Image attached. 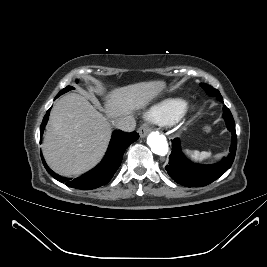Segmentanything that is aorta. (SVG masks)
<instances>
[{
    "instance_id": "aorta-1",
    "label": "aorta",
    "mask_w": 267,
    "mask_h": 267,
    "mask_svg": "<svg viewBox=\"0 0 267 267\" xmlns=\"http://www.w3.org/2000/svg\"><path fill=\"white\" fill-rule=\"evenodd\" d=\"M147 144L157 155L165 156L168 153L169 147L166 137L158 132H152L148 135Z\"/></svg>"
}]
</instances>
